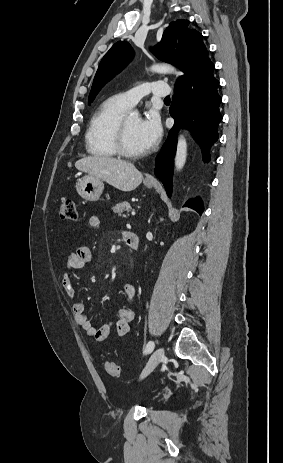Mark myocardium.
<instances>
[{
	"instance_id": "myocardium-1",
	"label": "myocardium",
	"mask_w": 283,
	"mask_h": 463,
	"mask_svg": "<svg viewBox=\"0 0 283 463\" xmlns=\"http://www.w3.org/2000/svg\"><path fill=\"white\" fill-rule=\"evenodd\" d=\"M126 117L122 116L115 131V148L119 155L128 159H139L147 155V151L133 152L128 149L125 140Z\"/></svg>"
}]
</instances>
